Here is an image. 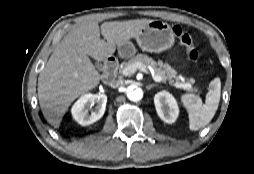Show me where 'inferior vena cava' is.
<instances>
[{
  "mask_svg": "<svg viewBox=\"0 0 254 174\" xmlns=\"http://www.w3.org/2000/svg\"><path fill=\"white\" fill-rule=\"evenodd\" d=\"M123 81L122 80H114L112 81L109 85L112 87V88H119V87H122L123 86Z\"/></svg>",
  "mask_w": 254,
  "mask_h": 174,
  "instance_id": "602c4592",
  "label": "inferior vena cava"
}]
</instances>
